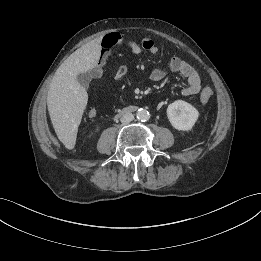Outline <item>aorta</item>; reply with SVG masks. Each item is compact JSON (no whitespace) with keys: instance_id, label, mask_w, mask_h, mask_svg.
Instances as JSON below:
<instances>
[{"instance_id":"762f6f07","label":"aorta","mask_w":261,"mask_h":261,"mask_svg":"<svg viewBox=\"0 0 261 261\" xmlns=\"http://www.w3.org/2000/svg\"><path fill=\"white\" fill-rule=\"evenodd\" d=\"M137 119L147 121L149 119V112L146 109L140 108L136 113Z\"/></svg>"}]
</instances>
